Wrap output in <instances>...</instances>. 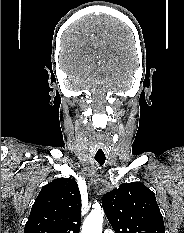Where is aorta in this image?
Listing matches in <instances>:
<instances>
[{"label": "aorta", "instance_id": "obj_1", "mask_svg": "<svg viewBox=\"0 0 184 233\" xmlns=\"http://www.w3.org/2000/svg\"><path fill=\"white\" fill-rule=\"evenodd\" d=\"M103 217V210H92L83 223L81 233H102Z\"/></svg>", "mask_w": 184, "mask_h": 233}]
</instances>
